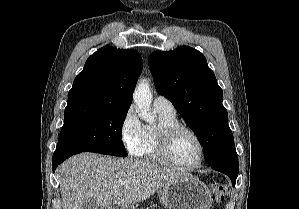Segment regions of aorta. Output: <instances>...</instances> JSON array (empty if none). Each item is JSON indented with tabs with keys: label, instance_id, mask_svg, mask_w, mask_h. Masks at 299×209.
I'll return each mask as SVG.
<instances>
[{
	"label": "aorta",
	"instance_id": "762f6f07",
	"mask_svg": "<svg viewBox=\"0 0 299 209\" xmlns=\"http://www.w3.org/2000/svg\"><path fill=\"white\" fill-rule=\"evenodd\" d=\"M133 101L138 107V116L145 122L153 124L155 116L151 113L152 93L147 80L141 81L136 86Z\"/></svg>",
	"mask_w": 299,
	"mask_h": 209
}]
</instances>
